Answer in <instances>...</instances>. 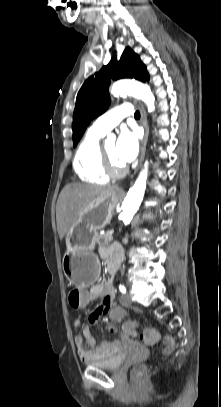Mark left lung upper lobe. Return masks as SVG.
Instances as JSON below:
<instances>
[{
  "label": "left lung upper lobe",
  "instance_id": "1",
  "mask_svg": "<svg viewBox=\"0 0 221 407\" xmlns=\"http://www.w3.org/2000/svg\"><path fill=\"white\" fill-rule=\"evenodd\" d=\"M134 78L149 80L146 66L139 56L127 47L119 62L112 58L108 65L89 77L80 88L73 115V146L81 139L86 127L98 115L106 111L110 103L108 88L110 79Z\"/></svg>",
  "mask_w": 221,
  "mask_h": 407
}]
</instances>
